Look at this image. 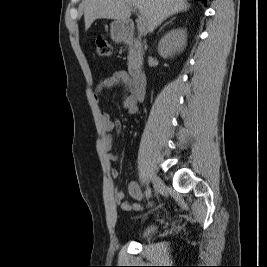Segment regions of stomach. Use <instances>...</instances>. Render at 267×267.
<instances>
[{
  "label": "stomach",
  "mask_w": 267,
  "mask_h": 267,
  "mask_svg": "<svg viewBox=\"0 0 267 267\" xmlns=\"http://www.w3.org/2000/svg\"><path fill=\"white\" fill-rule=\"evenodd\" d=\"M110 34L113 41H123L127 36V23L122 20L113 21L110 24Z\"/></svg>",
  "instance_id": "1"
}]
</instances>
